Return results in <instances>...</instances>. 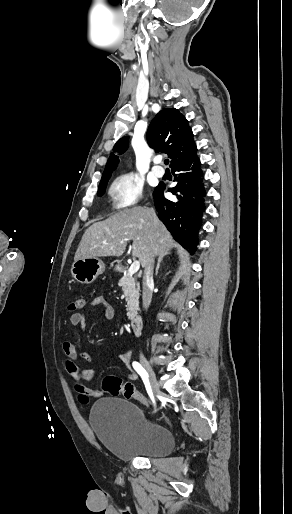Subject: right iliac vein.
<instances>
[{"mask_svg": "<svg viewBox=\"0 0 292 514\" xmlns=\"http://www.w3.org/2000/svg\"><path fill=\"white\" fill-rule=\"evenodd\" d=\"M141 364L143 365V367L145 368V370L148 373L149 382H150V386H151L152 392L155 395H157V396L160 395L161 392H160L159 387H158L156 376H155V373H154L152 367L150 366L149 362L144 357H142L141 358Z\"/></svg>", "mask_w": 292, "mask_h": 514, "instance_id": "obj_1", "label": "right iliac vein"}]
</instances>
